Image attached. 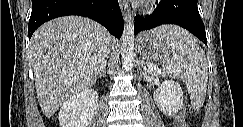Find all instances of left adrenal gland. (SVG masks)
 Here are the masks:
<instances>
[{
  "label": "left adrenal gland",
  "mask_w": 243,
  "mask_h": 127,
  "mask_svg": "<svg viewBox=\"0 0 243 127\" xmlns=\"http://www.w3.org/2000/svg\"><path fill=\"white\" fill-rule=\"evenodd\" d=\"M140 66L145 70L148 71L147 66L145 64L144 58H140Z\"/></svg>",
  "instance_id": "obj_1"
}]
</instances>
